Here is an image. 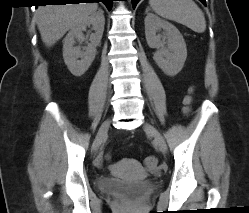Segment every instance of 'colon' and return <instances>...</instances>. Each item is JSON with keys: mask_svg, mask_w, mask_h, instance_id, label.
Returning <instances> with one entry per match:
<instances>
[{"mask_svg": "<svg viewBox=\"0 0 249 213\" xmlns=\"http://www.w3.org/2000/svg\"><path fill=\"white\" fill-rule=\"evenodd\" d=\"M193 93V89H190L189 93L184 98V111L186 113L190 112L191 110L194 99ZM143 164L147 170H155L159 166V159L154 155H150L144 159Z\"/></svg>", "mask_w": 249, "mask_h": 213, "instance_id": "5ec220e1", "label": "colon"}]
</instances>
